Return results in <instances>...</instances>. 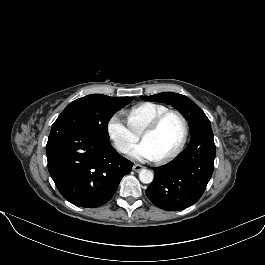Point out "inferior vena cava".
Wrapping results in <instances>:
<instances>
[{
  "label": "inferior vena cava",
  "instance_id": "obj_1",
  "mask_svg": "<svg viewBox=\"0 0 265 265\" xmlns=\"http://www.w3.org/2000/svg\"><path fill=\"white\" fill-rule=\"evenodd\" d=\"M117 150H118L119 152H123V151L125 150V147H124L123 145H118V146H117Z\"/></svg>",
  "mask_w": 265,
  "mask_h": 265
}]
</instances>
